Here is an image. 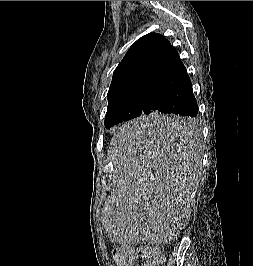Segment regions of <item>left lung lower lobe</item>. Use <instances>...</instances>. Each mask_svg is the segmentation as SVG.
Wrapping results in <instances>:
<instances>
[{
	"instance_id": "obj_1",
	"label": "left lung lower lobe",
	"mask_w": 253,
	"mask_h": 266,
	"mask_svg": "<svg viewBox=\"0 0 253 266\" xmlns=\"http://www.w3.org/2000/svg\"><path fill=\"white\" fill-rule=\"evenodd\" d=\"M155 111L185 116L169 121L150 116L140 121L143 130L165 139L189 134L193 129L191 119L198 114L191 80L172 45L159 63L145 95L142 115H152Z\"/></svg>"
}]
</instances>
